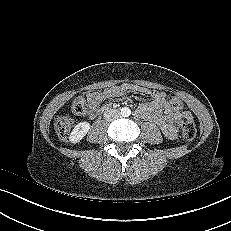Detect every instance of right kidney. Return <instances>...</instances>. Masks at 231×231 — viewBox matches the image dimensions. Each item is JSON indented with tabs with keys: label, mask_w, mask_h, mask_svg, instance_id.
Here are the masks:
<instances>
[{
	"label": "right kidney",
	"mask_w": 231,
	"mask_h": 231,
	"mask_svg": "<svg viewBox=\"0 0 231 231\" xmlns=\"http://www.w3.org/2000/svg\"><path fill=\"white\" fill-rule=\"evenodd\" d=\"M90 129V124L86 121L78 123L69 136V141L73 144L80 142Z\"/></svg>",
	"instance_id": "obj_1"
}]
</instances>
